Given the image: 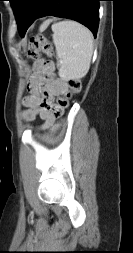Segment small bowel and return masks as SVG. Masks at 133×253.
I'll use <instances>...</instances> for the list:
<instances>
[{
    "label": "small bowel",
    "instance_id": "c3829d8e",
    "mask_svg": "<svg viewBox=\"0 0 133 253\" xmlns=\"http://www.w3.org/2000/svg\"><path fill=\"white\" fill-rule=\"evenodd\" d=\"M50 59V58H49ZM54 63L52 60H39L35 64L34 73L30 77L27 90L29 95L24 97L22 118L32 122L39 116L43 123L37 130L56 132L60 126L59 117L54 113L56 103L54 98H61L68 94V83L56 78L53 74Z\"/></svg>",
    "mask_w": 133,
    "mask_h": 253
}]
</instances>
